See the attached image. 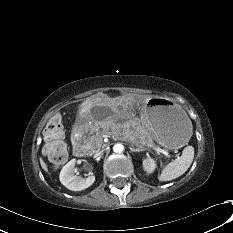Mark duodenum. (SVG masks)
Masks as SVG:
<instances>
[{
	"label": "duodenum",
	"instance_id": "duodenum-1",
	"mask_svg": "<svg viewBox=\"0 0 233 233\" xmlns=\"http://www.w3.org/2000/svg\"><path fill=\"white\" fill-rule=\"evenodd\" d=\"M79 129L75 130L73 133L72 143H73V151L76 155L81 156L84 152V148L82 143L78 138Z\"/></svg>",
	"mask_w": 233,
	"mask_h": 233
}]
</instances>
